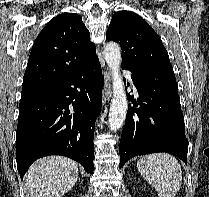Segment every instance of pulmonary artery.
<instances>
[{
	"mask_svg": "<svg viewBox=\"0 0 209 197\" xmlns=\"http://www.w3.org/2000/svg\"><path fill=\"white\" fill-rule=\"evenodd\" d=\"M126 77L132 82V77L130 71L126 70L125 71Z\"/></svg>",
	"mask_w": 209,
	"mask_h": 197,
	"instance_id": "pulmonary-artery-1",
	"label": "pulmonary artery"
}]
</instances>
